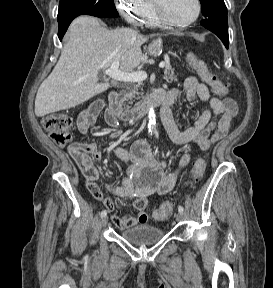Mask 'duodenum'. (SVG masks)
<instances>
[{"label": "duodenum", "instance_id": "410a0bca", "mask_svg": "<svg viewBox=\"0 0 273 288\" xmlns=\"http://www.w3.org/2000/svg\"><path fill=\"white\" fill-rule=\"evenodd\" d=\"M171 104L172 101L168 98L166 92L157 90L152 92L147 99L135 107L124 110L121 105L119 93L117 91H111L108 95L106 115L117 121L127 123L136 122L142 119L153 105H162L161 120L165 123L171 117L169 112Z\"/></svg>", "mask_w": 273, "mask_h": 288}]
</instances>
